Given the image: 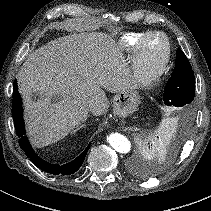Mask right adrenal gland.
Masks as SVG:
<instances>
[{"label":"right adrenal gland","mask_w":211,"mask_h":211,"mask_svg":"<svg viewBox=\"0 0 211 211\" xmlns=\"http://www.w3.org/2000/svg\"><path fill=\"white\" fill-rule=\"evenodd\" d=\"M87 118H88V117H86V119H85L84 121H86ZM84 126H85V124H80V125H78L75 131L79 130L80 128H82V127H84Z\"/></svg>","instance_id":"obj_1"}]
</instances>
